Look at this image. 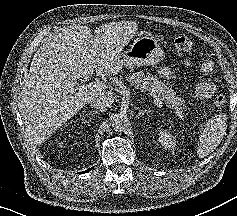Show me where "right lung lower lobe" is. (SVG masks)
Listing matches in <instances>:
<instances>
[{"mask_svg":"<svg viewBox=\"0 0 237 216\" xmlns=\"http://www.w3.org/2000/svg\"><path fill=\"white\" fill-rule=\"evenodd\" d=\"M91 169H93V167H92V168H90V169H88L87 171H84L83 173H86V172L90 171Z\"/></svg>","mask_w":237,"mask_h":216,"instance_id":"1","label":"right lung lower lobe"}]
</instances>
